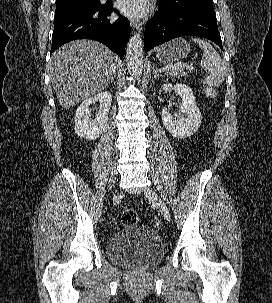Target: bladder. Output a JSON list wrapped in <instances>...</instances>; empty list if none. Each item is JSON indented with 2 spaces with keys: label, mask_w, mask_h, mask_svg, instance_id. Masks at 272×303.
<instances>
[{
  "label": "bladder",
  "mask_w": 272,
  "mask_h": 303,
  "mask_svg": "<svg viewBox=\"0 0 272 303\" xmlns=\"http://www.w3.org/2000/svg\"><path fill=\"white\" fill-rule=\"evenodd\" d=\"M109 260L130 267L147 268L159 262L164 247L158 233L143 225H127L106 243Z\"/></svg>",
  "instance_id": "bladder-1"
}]
</instances>
